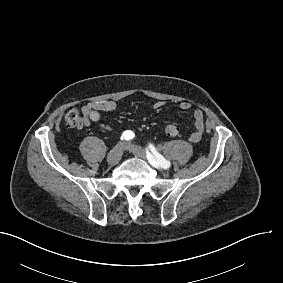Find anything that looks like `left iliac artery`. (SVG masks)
Returning a JSON list of instances; mask_svg holds the SVG:
<instances>
[{"mask_svg": "<svg viewBox=\"0 0 283 283\" xmlns=\"http://www.w3.org/2000/svg\"><path fill=\"white\" fill-rule=\"evenodd\" d=\"M150 149L153 153V155L155 156V158L153 157V155H151L150 153L147 152V158L149 160V162L152 165H157L159 164L161 167H163L164 169H167L170 167L171 163L170 161L166 160L161 154H159L154 147H152V145H150Z\"/></svg>", "mask_w": 283, "mask_h": 283, "instance_id": "44dca946", "label": "left iliac artery"}]
</instances>
